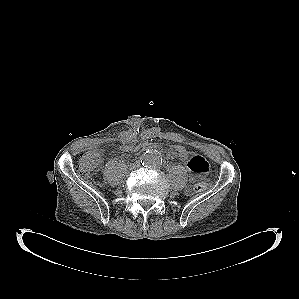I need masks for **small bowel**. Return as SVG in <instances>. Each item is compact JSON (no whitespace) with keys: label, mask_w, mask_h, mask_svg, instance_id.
<instances>
[{"label":"small bowel","mask_w":299,"mask_h":299,"mask_svg":"<svg viewBox=\"0 0 299 299\" xmlns=\"http://www.w3.org/2000/svg\"><path fill=\"white\" fill-rule=\"evenodd\" d=\"M125 152H137V146L134 144V138L129 136L125 140V144L121 147ZM191 171V180L196 181L201 175L206 174L209 170L208 162L201 155L190 153V158L186 162Z\"/></svg>","instance_id":"c3829d8e"}]
</instances>
